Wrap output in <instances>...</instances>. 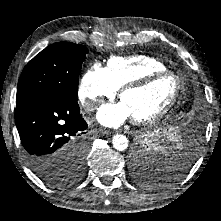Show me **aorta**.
I'll return each mask as SVG.
<instances>
[{"label":"aorta","mask_w":221,"mask_h":221,"mask_svg":"<svg viewBox=\"0 0 221 221\" xmlns=\"http://www.w3.org/2000/svg\"><path fill=\"white\" fill-rule=\"evenodd\" d=\"M113 147L118 151H124L128 148V139L125 135L116 134L112 139Z\"/></svg>","instance_id":"obj_1"}]
</instances>
